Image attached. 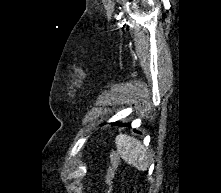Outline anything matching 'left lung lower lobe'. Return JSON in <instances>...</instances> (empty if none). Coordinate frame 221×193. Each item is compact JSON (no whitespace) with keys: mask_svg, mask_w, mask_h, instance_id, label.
I'll return each mask as SVG.
<instances>
[{"mask_svg":"<svg viewBox=\"0 0 221 193\" xmlns=\"http://www.w3.org/2000/svg\"><path fill=\"white\" fill-rule=\"evenodd\" d=\"M123 126H130V123H128V124H124Z\"/></svg>","mask_w":221,"mask_h":193,"instance_id":"0a47b994","label":"left lung lower lobe"}]
</instances>
